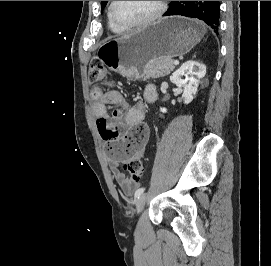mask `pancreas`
I'll list each match as a JSON object with an SVG mask.
<instances>
[{"label": "pancreas", "mask_w": 271, "mask_h": 266, "mask_svg": "<svg viewBox=\"0 0 271 266\" xmlns=\"http://www.w3.org/2000/svg\"><path fill=\"white\" fill-rule=\"evenodd\" d=\"M174 60L170 58H161L150 61L146 65V78H160L168 75L174 69Z\"/></svg>", "instance_id": "1"}]
</instances>
